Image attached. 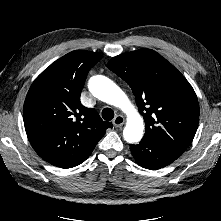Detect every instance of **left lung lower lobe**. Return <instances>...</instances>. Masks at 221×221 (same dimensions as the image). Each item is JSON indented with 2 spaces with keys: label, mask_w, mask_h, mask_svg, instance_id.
Returning <instances> with one entry per match:
<instances>
[{
  "label": "left lung lower lobe",
  "mask_w": 221,
  "mask_h": 221,
  "mask_svg": "<svg viewBox=\"0 0 221 221\" xmlns=\"http://www.w3.org/2000/svg\"><path fill=\"white\" fill-rule=\"evenodd\" d=\"M130 150L139 166L151 170L165 167L181 155L147 139H142L137 145H130Z\"/></svg>",
  "instance_id": "left-lung-lower-lobe-1"
}]
</instances>
